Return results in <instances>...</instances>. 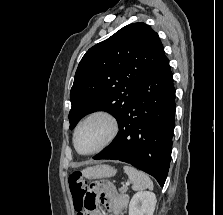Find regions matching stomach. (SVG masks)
<instances>
[{
  "mask_svg": "<svg viewBox=\"0 0 223 215\" xmlns=\"http://www.w3.org/2000/svg\"><path fill=\"white\" fill-rule=\"evenodd\" d=\"M115 173L116 169L111 167V165H105V163L82 169V175L85 179H101V177H111V175H115Z\"/></svg>",
  "mask_w": 223,
  "mask_h": 215,
  "instance_id": "obj_1",
  "label": "stomach"
}]
</instances>
